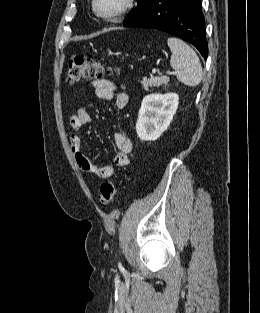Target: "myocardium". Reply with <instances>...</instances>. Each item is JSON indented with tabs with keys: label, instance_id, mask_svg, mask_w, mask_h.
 Here are the masks:
<instances>
[{
	"label": "myocardium",
	"instance_id": "obj_1",
	"mask_svg": "<svg viewBox=\"0 0 260 313\" xmlns=\"http://www.w3.org/2000/svg\"><path fill=\"white\" fill-rule=\"evenodd\" d=\"M134 4L135 0H124L123 5L117 11L113 13H101L97 8V0H92V10L98 18L106 21H114L127 14L134 7Z\"/></svg>",
	"mask_w": 260,
	"mask_h": 313
}]
</instances>
